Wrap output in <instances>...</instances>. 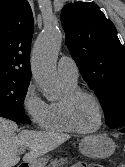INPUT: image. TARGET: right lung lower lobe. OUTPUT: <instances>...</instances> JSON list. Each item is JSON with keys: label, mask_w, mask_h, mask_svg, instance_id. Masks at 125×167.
<instances>
[{"label": "right lung lower lobe", "mask_w": 125, "mask_h": 167, "mask_svg": "<svg viewBox=\"0 0 125 167\" xmlns=\"http://www.w3.org/2000/svg\"><path fill=\"white\" fill-rule=\"evenodd\" d=\"M0 116L19 123H30V120L25 115V113L17 112L2 105H0Z\"/></svg>", "instance_id": "98d812e1"}]
</instances>
